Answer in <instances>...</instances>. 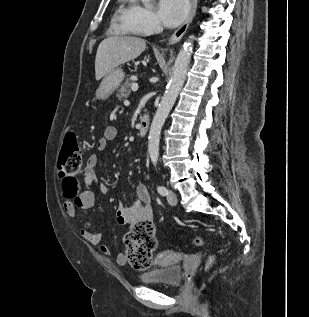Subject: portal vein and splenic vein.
Listing matches in <instances>:
<instances>
[{"label": "portal vein and splenic vein", "mask_w": 309, "mask_h": 317, "mask_svg": "<svg viewBox=\"0 0 309 317\" xmlns=\"http://www.w3.org/2000/svg\"><path fill=\"white\" fill-rule=\"evenodd\" d=\"M138 87H139V86H138V84H137V83H133V84H132V86H131V89H132V91H134V92H135V91H137V90H138Z\"/></svg>", "instance_id": "portal-vein-and-splenic-vein-1"}]
</instances>
